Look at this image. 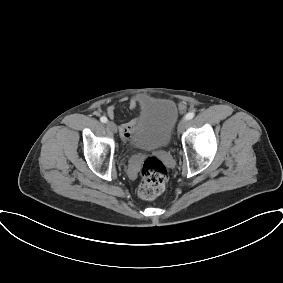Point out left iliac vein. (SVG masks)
Masks as SVG:
<instances>
[{"mask_svg":"<svg viewBox=\"0 0 283 283\" xmlns=\"http://www.w3.org/2000/svg\"><path fill=\"white\" fill-rule=\"evenodd\" d=\"M187 125V120L184 119L182 120L180 123H179V126H178V132L181 133L184 131L185 127Z\"/></svg>","mask_w":283,"mask_h":283,"instance_id":"obj_1","label":"left iliac vein"}]
</instances>
